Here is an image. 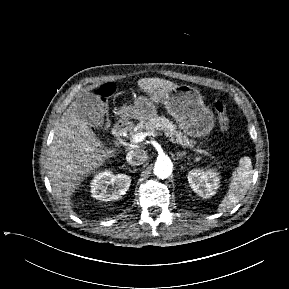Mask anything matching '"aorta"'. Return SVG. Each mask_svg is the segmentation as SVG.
<instances>
[{
    "instance_id": "aorta-1",
    "label": "aorta",
    "mask_w": 289,
    "mask_h": 289,
    "mask_svg": "<svg viewBox=\"0 0 289 289\" xmlns=\"http://www.w3.org/2000/svg\"><path fill=\"white\" fill-rule=\"evenodd\" d=\"M173 164L170 158L166 156H160L154 165V174L161 179L167 178L171 175Z\"/></svg>"
}]
</instances>
